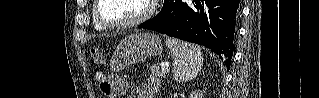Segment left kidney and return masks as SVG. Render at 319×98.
Listing matches in <instances>:
<instances>
[{
    "label": "left kidney",
    "mask_w": 319,
    "mask_h": 98,
    "mask_svg": "<svg viewBox=\"0 0 319 98\" xmlns=\"http://www.w3.org/2000/svg\"><path fill=\"white\" fill-rule=\"evenodd\" d=\"M189 98H203V91L197 90L190 94Z\"/></svg>",
    "instance_id": "obj_1"
}]
</instances>
